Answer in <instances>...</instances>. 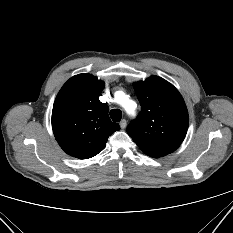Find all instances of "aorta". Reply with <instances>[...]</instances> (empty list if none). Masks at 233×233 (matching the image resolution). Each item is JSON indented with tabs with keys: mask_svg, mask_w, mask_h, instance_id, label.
Instances as JSON below:
<instances>
[{
	"mask_svg": "<svg viewBox=\"0 0 233 233\" xmlns=\"http://www.w3.org/2000/svg\"><path fill=\"white\" fill-rule=\"evenodd\" d=\"M118 94H121V95L124 96V93H122V92H117L116 95H118ZM130 104H131L130 101L124 102V106H125L126 111H127L129 114H133V113H134V110L130 107Z\"/></svg>",
	"mask_w": 233,
	"mask_h": 233,
	"instance_id": "obj_1",
	"label": "aorta"
}]
</instances>
